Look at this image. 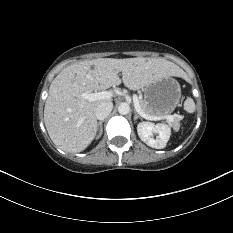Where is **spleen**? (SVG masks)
Here are the masks:
<instances>
[{"label": "spleen", "instance_id": "obj_1", "mask_svg": "<svg viewBox=\"0 0 233 233\" xmlns=\"http://www.w3.org/2000/svg\"><path fill=\"white\" fill-rule=\"evenodd\" d=\"M195 103L193 101L192 98H187L184 102V109L188 112V113H193L195 111Z\"/></svg>", "mask_w": 233, "mask_h": 233}]
</instances>
